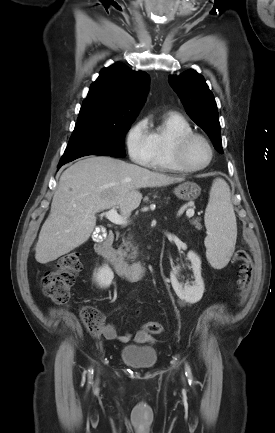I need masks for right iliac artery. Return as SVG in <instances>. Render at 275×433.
Here are the masks:
<instances>
[{
    "label": "right iliac artery",
    "mask_w": 275,
    "mask_h": 433,
    "mask_svg": "<svg viewBox=\"0 0 275 433\" xmlns=\"http://www.w3.org/2000/svg\"><path fill=\"white\" fill-rule=\"evenodd\" d=\"M92 374H93V369H89V379L92 378Z\"/></svg>",
    "instance_id": "obj_1"
}]
</instances>
